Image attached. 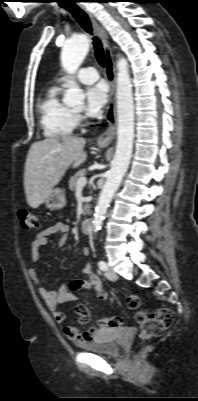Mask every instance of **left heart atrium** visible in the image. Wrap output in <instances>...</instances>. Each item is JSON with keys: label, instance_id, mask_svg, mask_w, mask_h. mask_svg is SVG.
Instances as JSON below:
<instances>
[{"label": "left heart atrium", "instance_id": "left-heart-atrium-1", "mask_svg": "<svg viewBox=\"0 0 198 401\" xmlns=\"http://www.w3.org/2000/svg\"><path fill=\"white\" fill-rule=\"evenodd\" d=\"M108 99V88L104 82L89 86L86 90V114L95 117L102 112Z\"/></svg>", "mask_w": 198, "mask_h": 401}]
</instances>
